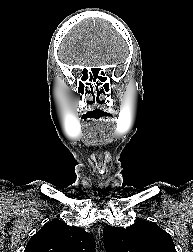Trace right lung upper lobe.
Returning <instances> with one entry per match:
<instances>
[{
    "label": "right lung upper lobe",
    "mask_w": 193,
    "mask_h": 252,
    "mask_svg": "<svg viewBox=\"0 0 193 252\" xmlns=\"http://www.w3.org/2000/svg\"><path fill=\"white\" fill-rule=\"evenodd\" d=\"M94 237L79 227L53 220L34 234L24 252H95Z\"/></svg>",
    "instance_id": "right-lung-upper-lobe-1"
}]
</instances>
